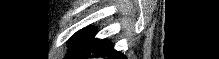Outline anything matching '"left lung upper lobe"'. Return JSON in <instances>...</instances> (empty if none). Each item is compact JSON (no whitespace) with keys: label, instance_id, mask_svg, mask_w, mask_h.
<instances>
[{"label":"left lung upper lobe","instance_id":"left-lung-upper-lobe-1","mask_svg":"<svg viewBox=\"0 0 219 59\" xmlns=\"http://www.w3.org/2000/svg\"><path fill=\"white\" fill-rule=\"evenodd\" d=\"M93 27H87L84 28L78 32H76L70 39L71 47L68 51V55L72 53L76 47H78L91 33H92ZM67 58V57H66Z\"/></svg>","mask_w":219,"mask_h":59}]
</instances>
